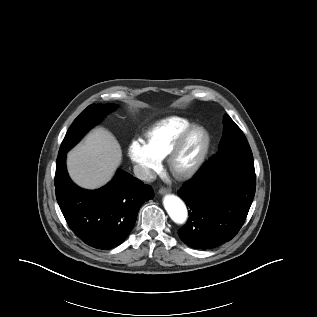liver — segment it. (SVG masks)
I'll list each match as a JSON object with an SVG mask.
<instances>
[{
    "label": "liver",
    "instance_id": "liver-1",
    "mask_svg": "<svg viewBox=\"0 0 317 317\" xmlns=\"http://www.w3.org/2000/svg\"><path fill=\"white\" fill-rule=\"evenodd\" d=\"M121 159L116 138L104 128H96L68 153L67 169L77 185L96 189L110 181Z\"/></svg>",
    "mask_w": 317,
    "mask_h": 317
}]
</instances>
